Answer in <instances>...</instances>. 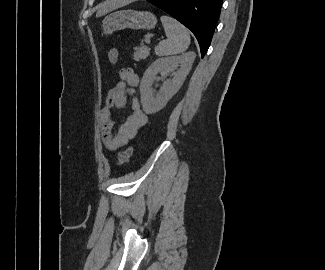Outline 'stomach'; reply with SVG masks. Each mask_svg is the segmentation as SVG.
<instances>
[{
  "label": "stomach",
  "instance_id": "obj_1",
  "mask_svg": "<svg viewBox=\"0 0 325 270\" xmlns=\"http://www.w3.org/2000/svg\"><path fill=\"white\" fill-rule=\"evenodd\" d=\"M157 23L156 17L149 12H138L134 10H121L111 13L102 22L105 34L125 28L150 29Z\"/></svg>",
  "mask_w": 325,
  "mask_h": 270
}]
</instances>
